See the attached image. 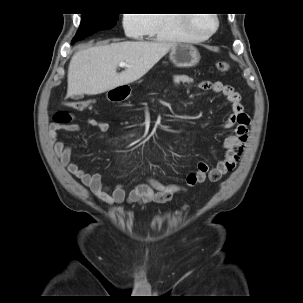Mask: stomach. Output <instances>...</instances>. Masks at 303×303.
Masks as SVG:
<instances>
[{"label":"stomach","mask_w":303,"mask_h":303,"mask_svg":"<svg viewBox=\"0 0 303 303\" xmlns=\"http://www.w3.org/2000/svg\"><path fill=\"white\" fill-rule=\"evenodd\" d=\"M169 58L177 67H192L199 62L200 54L192 45L177 43L171 48Z\"/></svg>","instance_id":"stomach-1"}]
</instances>
